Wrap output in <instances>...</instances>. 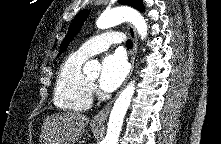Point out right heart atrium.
Returning a JSON list of instances; mask_svg holds the SVG:
<instances>
[{"instance_id":"right-heart-atrium-1","label":"right heart atrium","mask_w":221,"mask_h":144,"mask_svg":"<svg viewBox=\"0 0 221 144\" xmlns=\"http://www.w3.org/2000/svg\"><path fill=\"white\" fill-rule=\"evenodd\" d=\"M95 91H96V88H95L94 84H90V92L95 93Z\"/></svg>"}]
</instances>
